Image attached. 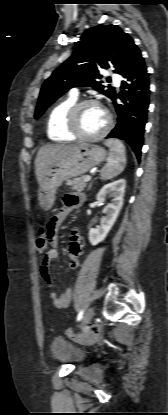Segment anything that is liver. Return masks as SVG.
Wrapping results in <instances>:
<instances>
[{
    "mask_svg": "<svg viewBox=\"0 0 168 415\" xmlns=\"http://www.w3.org/2000/svg\"><path fill=\"white\" fill-rule=\"evenodd\" d=\"M83 144H52L41 147L35 159V174L39 184L57 162L75 153Z\"/></svg>",
    "mask_w": 168,
    "mask_h": 415,
    "instance_id": "obj_1",
    "label": "liver"
}]
</instances>
